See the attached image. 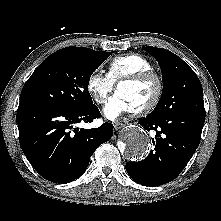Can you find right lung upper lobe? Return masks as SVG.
<instances>
[{
    "label": "right lung upper lobe",
    "mask_w": 221,
    "mask_h": 221,
    "mask_svg": "<svg viewBox=\"0 0 221 221\" xmlns=\"http://www.w3.org/2000/svg\"><path fill=\"white\" fill-rule=\"evenodd\" d=\"M59 51L71 52L74 54L84 55V56H95L98 54V51L89 49V48H78V47H66Z\"/></svg>",
    "instance_id": "cb5924a9"
}]
</instances>
